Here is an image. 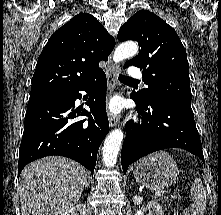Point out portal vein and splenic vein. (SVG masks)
<instances>
[{"label": "portal vein and splenic vein", "mask_w": 221, "mask_h": 215, "mask_svg": "<svg viewBox=\"0 0 221 215\" xmlns=\"http://www.w3.org/2000/svg\"><path fill=\"white\" fill-rule=\"evenodd\" d=\"M163 194V192H158L157 194H156V196H161Z\"/></svg>", "instance_id": "18ae733b"}]
</instances>
